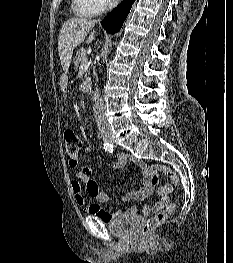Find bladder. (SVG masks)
<instances>
[{"instance_id": "31cf9c89", "label": "bladder", "mask_w": 233, "mask_h": 263, "mask_svg": "<svg viewBox=\"0 0 233 263\" xmlns=\"http://www.w3.org/2000/svg\"><path fill=\"white\" fill-rule=\"evenodd\" d=\"M139 223V216L130 212L124 211L112 221L107 223L108 230L117 237H131Z\"/></svg>"}]
</instances>
